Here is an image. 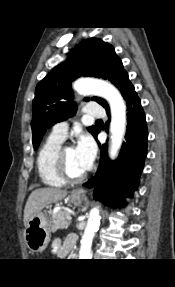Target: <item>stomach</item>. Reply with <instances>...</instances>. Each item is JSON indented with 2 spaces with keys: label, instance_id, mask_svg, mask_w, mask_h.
I'll return each mask as SVG.
<instances>
[{
  "label": "stomach",
  "instance_id": "0dacf381",
  "mask_svg": "<svg viewBox=\"0 0 175 287\" xmlns=\"http://www.w3.org/2000/svg\"><path fill=\"white\" fill-rule=\"evenodd\" d=\"M71 202L78 206L84 197L72 192L69 196ZM50 228L48 218L41 212L33 214L24 230V240L28 249L33 253L42 252L50 242Z\"/></svg>",
  "mask_w": 175,
  "mask_h": 287
}]
</instances>
